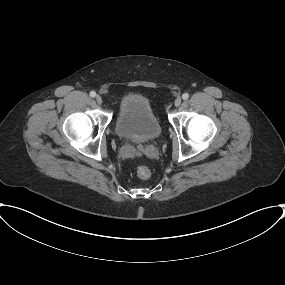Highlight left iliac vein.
Masks as SVG:
<instances>
[{"instance_id": "1", "label": "left iliac vein", "mask_w": 285, "mask_h": 285, "mask_svg": "<svg viewBox=\"0 0 285 285\" xmlns=\"http://www.w3.org/2000/svg\"><path fill=\"white\" fill-rule=\"evenodd\" d=\"M181 102H182V99L180 97H178V98L175 99L174 105L176 107H178V106H180Z\"/></svg>"}]
</instances>
